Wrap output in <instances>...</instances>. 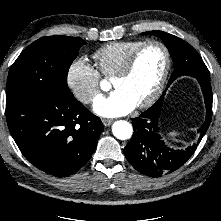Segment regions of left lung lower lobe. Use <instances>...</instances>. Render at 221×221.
Listing matches in <instances>:
<instances>
[{
  "mask_svg": "<svg viewBox=\"0 0 221 221\" xmlns=\"http://www.w3.org/2000/svg\"><path fill=\"white\" fill-rule=\"evenodd\" d=\"M206 104V120L199 128L197 144L185 150L168 148L159 135L158 121L165 92L160 99L139 117L132 119L133 136L124 148L126 159L140 173L150 177L173 172L180 168L195 152L198 143L206 133L212 117V89L210 80L198 79ZM169 86V85H168Z\"/></svg>",
  "mask_w": 221,
  "mask_h": 221,
  "instance_id": "1",
  "label": "left lung lower lobe"
}]
</instances>
